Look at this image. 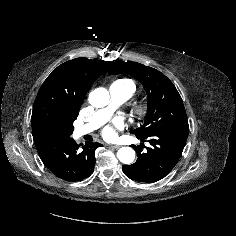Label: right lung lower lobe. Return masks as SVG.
I'll list each match as a JSON object with an SVG mask.
<instances>
[{
    "instance_id": "98d812e1",
    "label": "right lung lower lobe",
    "mask_w": 236,
    "mask_h": 236,
    "mask_svg": "<svg viewBox=\"0 0 236 236\" xmlns=\"http://www.w3.org/2000/svg\"><path fill=\"white\" fill-rule=\"evenodd\" d=\"M38 154L46 168L56 177L69 182L81 181L90 176L95 167V150L100 143L76 144L72 138H34ZM82 146L81 152H78Z\"/></svg>"
}]
</instances>
